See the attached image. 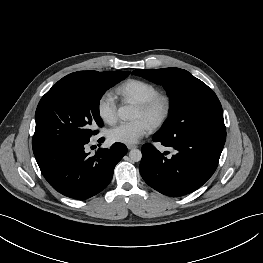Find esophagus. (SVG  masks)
Wrapping results in <instances>:
<instances>
[{
    "instance_id": "esophagus-1",
    "label": "esophagus",
    "mask_w": 263,
    "mask_h": 263,
    "mask_svg": "<svg viewBox=\"0 0 263 263\" xmlns=\"http://www.w3.org/2000/svg\"><path fill=\"white\" fill-rule=\"evenodd\" d=\"M134 148H137L136 145H127V149L128 150H131V149H134Z\"/></svg>"
}]
</instances>
